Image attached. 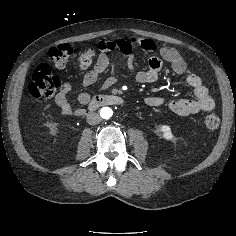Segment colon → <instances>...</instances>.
Wrapping results in <instances>:
<instances>
[{"mask_svg": "<svg viewBox=\"0 0 236 236\" xmlns=\"http://www.w3.org/2000/svg\"><path fill=\"white\" fill-rule=\"evenodd\" d=\"M50 60L57 67H64L73 55V48L68 44H61L49 49ZM94 58V52L90 49L82 50L77 55V65L81 71L87 69ZM60 87V80L54 76L50 65H39L32 74L29 84V93L33 98H48ZM220 123L219 117L209 113L204 117V124L209 129H215Z\"/></svg>", "mask_w": 236, "mask_h": 236, "instance_id": "colon-1", "label": "colon"}]
</instances>
